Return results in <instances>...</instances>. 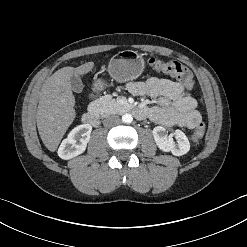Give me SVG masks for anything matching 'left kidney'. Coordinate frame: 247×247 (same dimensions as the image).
Here are the masks:
<instances>
[{
  "mask_svg": "<svg viewBox=\"0 0 247 247\" xmlns=\"http://www.w3.org/2000/svg\"><path fill=\"white\" fill-rule=\"evenodd\" d=\"M154 140L158 148L164 152H171L175 156H181L189 152L190 143L186 135L176 130L173 134H166L165 128L157 126L152 131ZM175 137L176 141L173 139Z\"/></svg>",
  "mask_w": 247,
  "mask_h": 247,
  "instance_id": "5707ae66",
  "label": "left kidney"
}]
</instances>
